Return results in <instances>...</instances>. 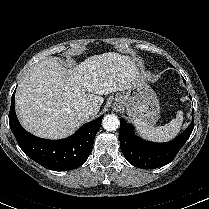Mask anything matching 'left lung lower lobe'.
Returning <instances> with one entry per match:
<instances>
[{"instance_id": "obj_1", "label": "left lung lower lobe", "mask_w": 209, "mask_h": 209, "mask_svg": "<svg viewBox=\"0 0 209 209\" xmlns=\"http://www.w3.org/2000/svg\"><path fill=\"white\" fill-rule=\"evenodd\" d=\"M193 129L194 121L192 119L188 128L173 141L153 143L136 137L133 126L120 118L119 138L121 151L126 160L135 167L142 169L162 167L176 157L181 147L190 137Z\"/></svg>"}]
</instances>
